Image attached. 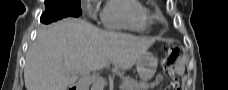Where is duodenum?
Returning a JSON list of instances; mask_svg holds the SVG:
<instances>
[{
  "label": "duodenum",
  "instance_id": "1",
  "mask_svg": "<svg viewBox=\"0 0 228 90\" xmlns=\"http://www.w3.org/2000/svg\"><path fill=\"white\" fill-rule=\"evenodd\" d=\"M70 89H71V90H78L77 87H71Z\"/></svg>",
  "mask_w": 228,
  "mask_h": 90
}]
</instances>
